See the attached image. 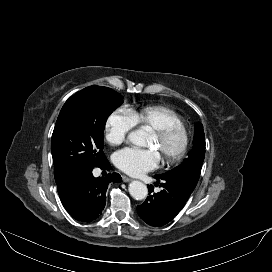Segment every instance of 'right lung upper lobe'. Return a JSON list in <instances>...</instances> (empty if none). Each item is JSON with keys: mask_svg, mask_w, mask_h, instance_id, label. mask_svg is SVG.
I'll use <instances>...</instances> for the list:
<instances>
[{"mask_svg": "<svg viewBox=\"0 0 272 272\" xmlns=\"http://www.w3.org/2000/svg\"><path fill=\"white\" fill-rule=\"evenodd\" d=\"M54 176H55L58 192L61 191L64 187H66L67 184L72 180L71 178L60 177L55 169H54Z\"/></svg>", "mask_w": 272, "mask_h": 272, "instance_id": "right-lung-upper-lobe-1", "label": "right lung upper lobe"}]
</instances>
